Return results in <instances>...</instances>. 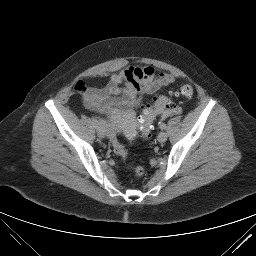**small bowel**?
Wrapping results in <instances>:
<instances>
[{"instance_id":"1","label":"small bowel","mask_w":256,"mask_h":256,"mask_svg":"<svg viewBox=\"0 0 256 256\" xmlns=\"http://www.w3.org/2000/svg\"><path fill=\"white\" fill-rule=\"evenodd\" d=\"M174 75L156 74L148 66H129L111 76L108 84L101 89H92L86 94L88 106L106 114L113 126L135 116V109L146 93H152L173 83ZM176 108L160 112L162 117L173 115Z\"/></svg>"}]
</instances>
